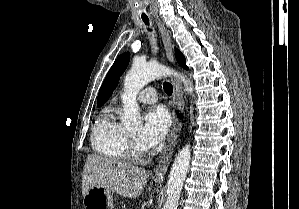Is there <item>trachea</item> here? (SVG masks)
I'll return each instance as SVG.
<instances>
[{
	"mask_svg": "<svg viewBox=\"0 0 299 209\" xmlns=\"http://www.w3.org/2000/svg\"><path fill=\"white\" fill-rule=\"evenodd\" d=\"M142 20L146 25H149V19L147 17H142ZM163 89L167 95H171L173 93V86L169 82H164Z\"/></svg>",
	"mask_w": 299,
	"mask_h": 209,
	"instance_id": "obj_1",
	"label": "trachea"
}]
</instances>
